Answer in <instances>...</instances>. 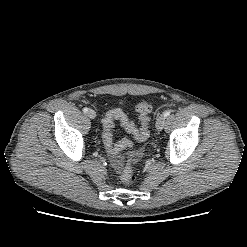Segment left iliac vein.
Wrapping results in <instances>:
<instances>
[{
    "label": "left iliac vein",
    "instance_id": "obj_1",
    "mask_svg": "<svg viewBox=\"0 0 247 247\" xmlns=\"http://www.w3.org/2000/svg\"><path fill=\"white\" fill-rule=\"evenodd\" d=\"M165 124V117L164 116H160L157 121H156V128L157 130H162Z\"/></svg>",
    "mask_w": 247,
    "mask_h": 247
}]
</instances>
